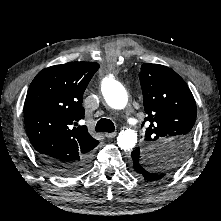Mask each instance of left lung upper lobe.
Instances as JSON below:
<instances>
[{
	"instance_id": "1",
	"label": "left lung upper lobe",
	"mask_w": 221,
	"mask_h": 221,
	"mask_svg": "<svg viewBox=\"0 0 221 221\" xmlns=\"http://www.w3.org/2000/svg\"><path fill=\"white\" fill-rule=\"evenodd\" d=\"M144 109L149 125L145 158L154 181L168 178L181 164L193 140L197 108L185 81L172 69L143 64L139 73Z\"/></svg>"
}]
</instances>
